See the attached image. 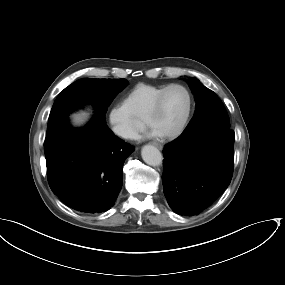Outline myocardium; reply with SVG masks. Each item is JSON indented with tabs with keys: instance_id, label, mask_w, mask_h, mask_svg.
<instances>
[{
	"instance_id": "obj_1",
	"label": "myocardium",
	"mask_w": 285,
	"mask_h": 285,
	"mask_svg": "<svg viewBox=\"0 0 285 285\" xmlns=\"http://www.w3.org/2000/svg\"><path fill=\"white\" fill-rule=\"evenodd\" d=\"M173 87H179L185 91L187 95V107H186V111L184 113L183 118L181 119L180 123L178 124L175 130L169 133H164V134L156 133L160 138H163V139H174L178 137L184 131L190 119L192 108H193V99H192V95L189 89L180 83H170L166 85L155 98L153 104L151 105V107L149 108V110L147 111L144 117L145 123L149 125L150 127H152L151 125L152 117L155 116L159 112V110L162 107V102H163L165 94L167 93L169 89Z\"/></svg>"
}]
</instances>
